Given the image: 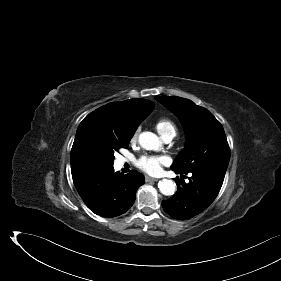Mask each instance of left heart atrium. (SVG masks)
<instances>
[{"instance_id": "1", "label": "left heart atrium", "mask_w": 281, "mask_h": 281, "mask_svg": "<svg viewBox=\"0 0 281 281\" xmlns=\"http://www.w3.org/2000/svg\"><path fill=\"white\" fill-rule=\"evenodd\" d=\"M169 159L166 156H143L137 161V166L143 171L156 175L160 173L163 165H167Z\"/></svg>"}]
</instances>
